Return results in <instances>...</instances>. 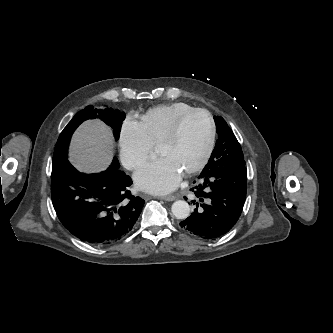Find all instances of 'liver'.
<instances>
[{"instance_id": "6515ba94", "label": "liver", "mask_w": 333, "mask_h": 333, "mask_svg": "<svg viewBox=\"0 0 333 333\" xmlns=\"http://www.w3.org/2000/svg\"><path fill=\"white\" fill-rule=\"evenodd\" d=\"M70 162L81 171H100L113 156L110 129L100 120H89L75 132L69 154Z\"/></svg>"}]
</instances>
